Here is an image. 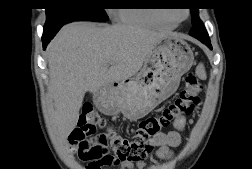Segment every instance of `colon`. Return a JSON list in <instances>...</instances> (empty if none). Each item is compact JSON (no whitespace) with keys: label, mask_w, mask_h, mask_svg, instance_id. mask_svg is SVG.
<instances>
[{"label":"colon","mask_w":252,"mask_h":169,"mask_svg":"<svg viewBox=\"0 0 252 169\" xmlns=\"http://www.w3.org/2000/svg\"><path fill=\"white\" fill-rule=\"evenodd\" d=\"M201 91L202 85L196 74L188 72L179 96L159 115L143 119L130 137L108 127L101 114L91 105H84L78 126L70 135V144L87 169H104L119 162H140L152 151L151 141L174 119L193 112ZM98 129L105 130L97 132Z\"/></svg>","instance_id":"5ec220e1"}]
</instances>
